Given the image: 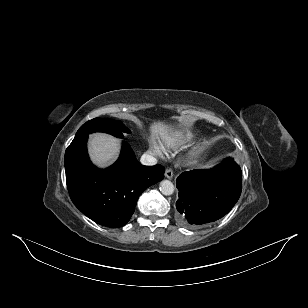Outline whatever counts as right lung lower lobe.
<instances>
[{"label":"right lung lower lobe","instance_id":"1","mask_svg":"<svg viewBox=\"0 0 308 308\" xmlns=\"http://www.w3.org/2000/svg\"><path fill=\"white\" fill-rule=\"evenodd\" d=\"M88 134L75 137L65 152L68 192L74 205L98 224L117 228L134 213L140 194L161 181V165H141L129 145L123 144L119 159L109 168H96L89 160Z\"/></svg>","mask_w":308,"mask_h":308}]
</instances>
